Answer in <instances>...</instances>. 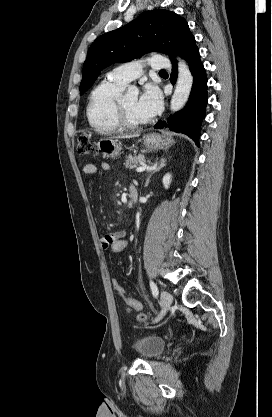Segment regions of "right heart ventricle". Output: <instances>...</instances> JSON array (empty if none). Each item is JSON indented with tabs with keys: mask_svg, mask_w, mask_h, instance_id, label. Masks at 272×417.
<instances>
[{
	"mask_svg": "<svg viewBox=\"0 0 272 417\" xmlns=\"http://www.w3.org/2000/svg\"><path fill=\"white\" fill-rule=\"evenodd\" d=\"M124 88V85L107 77L91 91L86 114L97 133L111 135L121 129L116 122L115 107Z\"/></svg>",
	"mask_w": 272,
	"mask_h": 417,
	"instance_id": "right-heart-ventricle-1",
	"label": "right heart ventricle"
}]
</instances>
